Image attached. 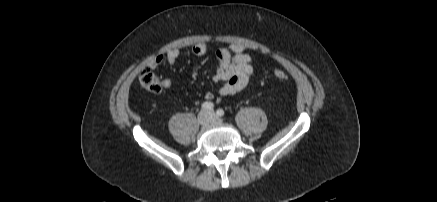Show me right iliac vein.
<instances>
[{
    "mask_svg": "<svg viewBox=\"0 0 437 202\" xmlns=\"http://www.w3.org/2000/svg\"><path fill=\"white\" fill-rule=\"evenodd\" d=\"M198 122L202 126H207L211 122V117H210L209 113L204 111V110L201 111L198 114Z\"/></svg>",
    "mask_w": 437,
    "mask_h": 202,
    "instance_id": "63e3f726",
    "label": "right iliac vein"
}]
</instances>
